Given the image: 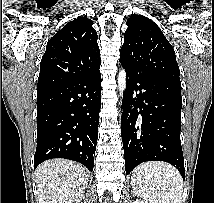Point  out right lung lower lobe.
I'll list each match as a JSON object with an SVG mask.
<instances>
[{"label":"right lung lower lobe","instance_id":"98d812e1","mask_svg":"<svg viewBox=\"0 0 214 203\" xmlns=\"http://www.w3.org/2000/svg\"><path fill=\"white\" fill-rule=\"evenodd\" d=\"M99 69L37 96L35 168L65 158L93 170L101 107Z\"/></svg>","mask_w":214,"mask_h":203}]
</instances>
